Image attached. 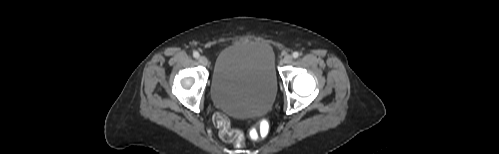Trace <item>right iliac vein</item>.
<instances>
[{
	"label": "right iliac vein",
	"mask_w": 499,
	"mask_h": 154,
	"mask_svg": "<svg viewBox=\"0 0 499 154\" xmlns=\"http://www.w3.org/2000/svg\"><path fill=\"white\" fill-rule=\"evenodd\" d=\"M199 62L202 64V65H207L208 64V59L205 57V56H200L199 57Z\"/></svg>",
	"instance_id": "obj_1"
}]
</instances>
